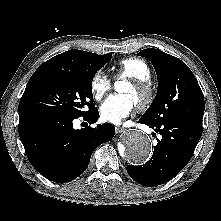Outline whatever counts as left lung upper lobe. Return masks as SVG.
<instances>
[{
	"mask_svg": "<svg viewBox=\"0 0 221 221\" xmlns=\"http://www.w3.org/2000/svg\"><path fill=\"white\" fill-rule=\"evenodd\" d=\"M138 55L151 61L158 77L157 95L141 119L152 126L181 119L202 128L204 97L189 67L180 59L154 48L144 49Z\"/></svg>",
	"mask_w": 221,
	"mask_h": 221,
	"instance_id": "1",
	"label": "left lung upper lobe"
}]
</instances>
